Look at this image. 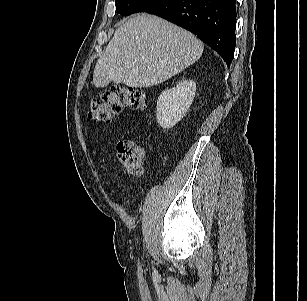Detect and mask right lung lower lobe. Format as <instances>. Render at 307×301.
<instances>
[{
    "mask_svg": "<svg viewBox=\"0 0 307 301\" xmlns=\"http://www.w3.org/2000/svg\"><path fill=\"white\" fill-rule=\"evenodd\" d=\"M236 0H158L141 12L163 17L197 35L229 67L236 45Z\"/></svg>",
    "mask_w": 307,
    "mask_h": 301,
    "instance_id": "obj_1",
    "label": "right lung lower lobe"
}]
</instances>
